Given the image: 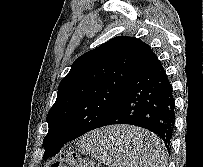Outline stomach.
Returning a JSON list of instances; mask_svg holds the SVG:
<instances>
[{
	"instance_id": "stomach-1",
	"label": "stomach",
	"mask_w": 203,
	"mask_h": 167,
	"mask_svg": "<svg viewBox=\"0 0 203 167\" xmlns=\"http://www.w3.org/2000/svg\"><path fill=\"white\" fill-rule=\"evenodd\" d=\"M111 128V127H110ZM108 129L109 128H107V129H105V130H102L101 132H103L104 134H108L107 132H108ZM120 149H116L115 150V154H124V152L121 150V151H119Z\"/></svg>"
}]
</instances>
